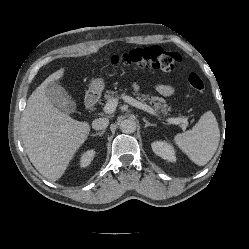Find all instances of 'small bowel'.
Listing matches in <instances>:
<instances>
[{
  "instance_id": "c3829d8e",
  "label": "small bowel",
  "mask_w": 249,
  "mask_h": 249,
  "mask_svg": "<svg viewBox=\"0 0 249 249\" xmlns=\"http://www.w3.org/2000/svg\"><path fill=\"white\" fill-rule=\"evenodd\" d=\"M134 89L135 90H138L139 89V86L137 84H134ZM155 89L161 94V95H164V96H170L173 94L174 92V89L171 85H168V84H157L155 86Z\"/></svg>"
}]
</instances>
